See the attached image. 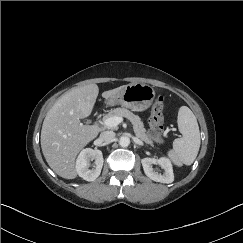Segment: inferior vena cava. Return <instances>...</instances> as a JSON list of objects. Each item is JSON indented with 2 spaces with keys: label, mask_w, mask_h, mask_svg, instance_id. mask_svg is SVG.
Here are the masks:
<instances>
[{
  "label": "inferior vena cava",
  "mask_w": 243,
  "mask_h": 243,
  "mask_svg": "<svg viewBox=\"0 0 243 243\" xmlns=\"http://www.w3.org/2000/svg\"><path fill=\"white\" fill-rule=\"evenodd\" d=\"M115 138V133L113 131H104L100 134V140L109 143Z\"/></svg>",
  "instance_id": "1"
}]
</instances>
